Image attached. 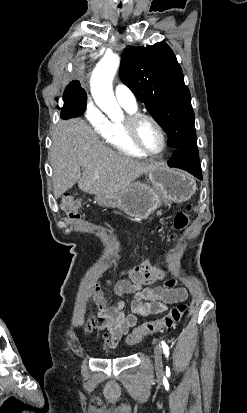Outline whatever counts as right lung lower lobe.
I'll return each mask as SVG.
<instances>
[{
	"label": "right lung lower lobe",
	"mask_w": 247,
	"mask_h": 413,
	"mask_svg": "<svg viewBox=\"0 0 247 413\" xmlns=\"http://www.w3.org/2000/svg\"><path fill=\"white\" fill-rule=\"evenodd\" d=\"M74 117H78L73 111H70L65 106L61 109V118L64 120L71 119Z\"/></svg>",
	"instance_id": "1"
}]
</instances>
